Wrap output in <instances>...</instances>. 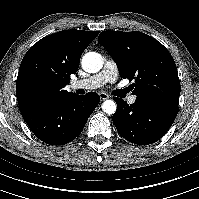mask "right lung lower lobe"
<instances>
[{"instance_id": "98d812e1", "label": "right lung lower lobe", "mask_w": 199, "mask_h": 199, "mask_svg": "<svg viewBox=\"0 0 199 199\" xmlns=\"http://www.w3.org/2000/svg\"><path fill=\"white\" fill-rule=\"evenodd\" d=\"M100 101L95 92L72 94L22 114L25 122L43 142L64 145L78 137Z\"/></svg>"}]
</instances>
